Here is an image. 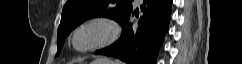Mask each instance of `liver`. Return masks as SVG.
<instances>
[{
	"mask_svg": "<svg viewBox=\"0 0 242 64\" xmlns=\"http://www.w3.org/2000/svg\"><path fill=\"white\" fill-rule=\"evenodd\" d=\"M106 62H111L110 60L106 59ZM112 64H114L113 62H111Z\"/></svg>",
	"mask_w": 242,
	"mask_h": 64,
	"instance_id": "6515ba94",
	"label": "liver"
}]
</instances>
